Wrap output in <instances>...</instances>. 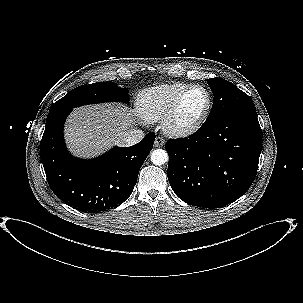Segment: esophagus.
Wrapping results in <instances>:
<instances>
[{"label": "esophagus", "instance_id": "34e87169", "mask_svg": "<svg viewBox=\"0 0 303 303\" xmlns=\"http://www.w3.org/2000/svg\"><path fill=\"white\" fill-rule=\"evenodd\" d=\"M165 144V140L162 137H156L155 138V142H154V146L155 147H162Z\"/></svg>", "mask_w": 303, "mask_h": 303}]
</instances>
